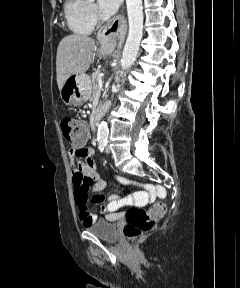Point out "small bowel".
I'll list each match as a JSON object with an SVG mask.
<instances>
[{
	"instance_id": "obj_1",
	"label": "small bowel",
	"mask_w": 240,
	"mask_h": 288,
	"mask_svg": "<svg viewBox=\"0 0 240 288\" xmlns=\"http://www.w3.org/2000/svg\"><path fill=\"white\" fill-rule=\"evenodd\" d=\"M87 138L88 134L83 141L72 143V148L68 151L70 163L76 165L72 172L74 197L80 221L85 227L94 223L97 219L96 213L89 208V196L92 197L94 202H100L102 199L101 193L106 186L105 181L100 178L91 160L94 156V149L86 147ZM117 179L126 182L123 178L118 177ZM131 201L130 197H121L118 192H114L110 195L107 203L101 206L100 211L106 214L109 221H116L123 216L120 209L130 204Z\"/></svg>"
}]
</instances>
